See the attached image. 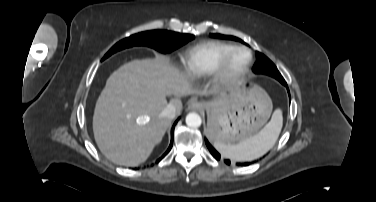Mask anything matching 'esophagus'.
<instances>
[{
	"mask_svg": "<svg viewBox=\"0 0 376 202\" xmlns=\"http://www.w3.org/2000/svg\"><path fill=\"white\" fill-rule=\"evenodd\" d=\"M190 110H201L203 108V105L200 102L193 101L189 104L188 107Z\"/></svg>",
	"mask_w": 376,
	"mask_h": 202,
	"instance_id": "esophagus-1",
	"label": "esophagus"
}]
</instances>
